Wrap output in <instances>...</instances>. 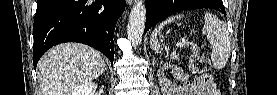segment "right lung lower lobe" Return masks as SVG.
I'll use <instances>...</instances> for the list:
<instances>
[{
  "mask_svg": "<svg viewBox=\"0 0 277 95\" xmlns=\"http://www.w3.org/2000/svg\"><path fill=\"white\" fill-rule=\"evenodd\" d=\"M125 0H38L33 25V63L52 46L64 42L89 45L113 65L114 29Z\"/></svg>",
  "mask_w": 277,
  "mask_h": 95,
  "instance_id": "98d812e1",
  "label": "right lung lower lobe"
}]
</instances>
